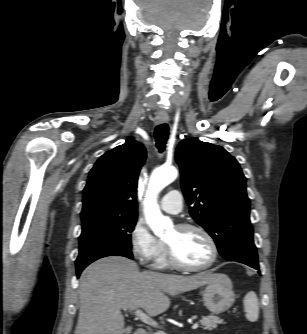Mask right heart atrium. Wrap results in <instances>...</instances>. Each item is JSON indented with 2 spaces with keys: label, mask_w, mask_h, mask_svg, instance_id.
I'll return each instance as SVG.
<instances>
[{
  "label": "right heart atrium",
  "mask_w": 307,
  "mask_h": 334,
  "mask_svg": "<svg viewBox=\"0 0 307 334\" xmlns=\"http://www.w3.org/2000/svg\"><path fill=\"white\" fill-rule=\"evenodd\" d=\"M132 255L142 265L153 262L163 249V244L150 231L147 224L138 219L129 234Z\"/></svg>",
  "instance_id": "1"
}]
</instances>
